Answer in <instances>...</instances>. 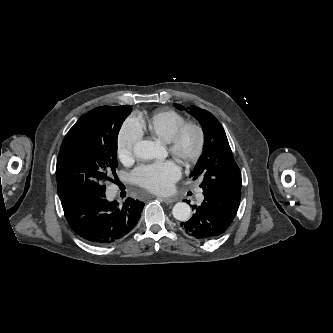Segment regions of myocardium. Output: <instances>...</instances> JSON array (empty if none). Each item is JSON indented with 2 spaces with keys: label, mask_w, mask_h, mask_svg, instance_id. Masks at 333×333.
<instances>
[{
  "label": "myocardium",
  "mask_w": 333,
  "mask_h": 333,
  "mask_svg": "<svg viewBox=\"0 0 333 333\" xmlns=\"http://www.w3.org/2000/svg\"><path fill=\"white\" fill-rule=\"evenodd\" d=\"M189 133H192L195 137V143L191 149L185 147V138ZM168 143L173 156L186 166H192L200 160L204 153L206 146L205 130L197 122L185 121L175 130Z\"/></svg>",
  "instance_id": "obj_1"
}]
</instances>
